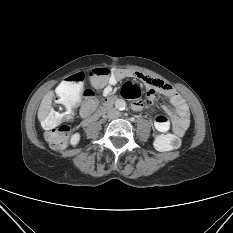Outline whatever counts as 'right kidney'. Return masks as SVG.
Returning <instances> with one entry per match:
<instances>
[{"label":"right kidney","instance_id":"1","mask_svg":"<svg viewBox=\"0 0 233 233\" xmlns=\"http://www.w3.org/2000/svg\"><path fill=\"white\" fill-rule=\"evenodd\" d=\"M80 141V134L79 133H75L71 136L70 138V144L72 146H76Z\"/></svg>","mask_w":233,"mask_h":233}]
</instances>
